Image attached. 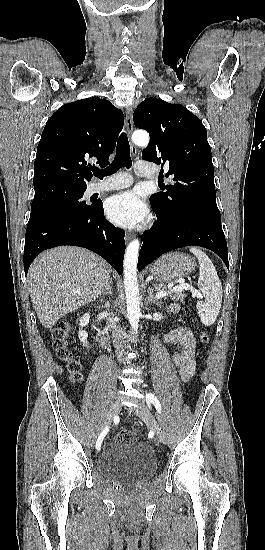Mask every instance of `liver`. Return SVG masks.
Instances as JSON below:
<instances>
[{
  "label": "liver",
  "mask_w": 265,
  "mask_h": 550,
  "mask_svg": "<svg viewBox=\"0 0 265 550\" xmlns=\"http://www.w3.org/2000/svg\"><path fill=\"white\" fill-rule=\"evenodd\" d=\"M110 265L80 247L61 246L41 253L28 272V288L42 325L96 300L110 282Z\"/></svg>",
  "instance_id": "6515ba94"
}]
</instances>
